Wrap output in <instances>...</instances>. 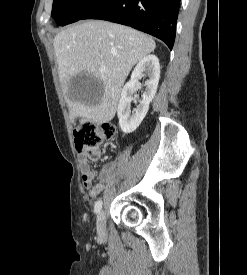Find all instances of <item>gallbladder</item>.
<instances>
[{"label":"gallbladder","instance_id":"bac80fb5","mask_svg":"<svg viewBox=\"0 0 247 275\" xmlns=\"http://www.w3.org/2000/svg\"><path fill=\"white\" fill-rule=\"evenodd\" d=\"M70 90L88 96H98L102 92V85L99 79L83 71L70 79Z\"/></svg>","mask_w":247,"mask_h":275}]
</instances>
